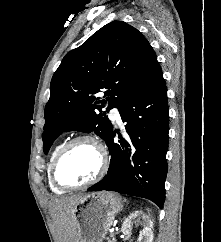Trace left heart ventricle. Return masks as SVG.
I'll list each match as a JSON object with an SVG mask.
<instances>
[{
	"mask_svg": "<svg viewBox=\"0 0 221 242\" xmlns=\"http://www.w3.org/2000/svg\"><path fill=\"white\" fill-rule=\"evenodd\" d=\"M100 156L92 143L74 144L64 155L57 169L58 179L64 184H79L92 178L98 170Z\"/></svg>",
	"mask_w": 221,
	"mask_h": 242,
	"instance_id": "obj_1",
	"label": "left heart ventricle"
}]
</instances>
